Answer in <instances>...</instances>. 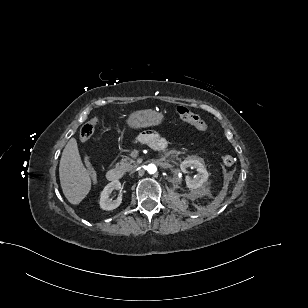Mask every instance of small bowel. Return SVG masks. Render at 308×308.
Segmentation results:
<instances>
[{"instance_id": "c3829d8e", "label": "small bowel", "mask_w": 308, "mask_h": 308, "mask_svg": "<svg viewBox=\"0 0 308 308\" xmlns=\"http://www.w3.org/2000/svg\"><path fill=\"white\" fill-rule=\"evenodd\" d=\"M138 139L141 143L148 144L153 148H154L153 144L156 140H161L162 142L165 143V141L159 136V134L152 130L140 133Z\"/></svg>"}]
</instances>
